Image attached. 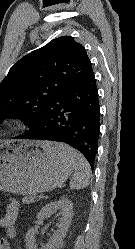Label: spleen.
Instances as JSON below:
<instances>
[{
    "instance_id": "1",
    "label": "spleen",
    "mask_w": 135,
    "mask_h": 249,
    "mask_svg": "<svg viewBox=\"0 0 135 249\" xmlns=\"http://www.w3.org/2000/svg\"><path fill=\"white\" fill-rule=\"evenodd\" d=\"M56 148L67 156L74 165L75 172L70 181V187L77 190L87 187L90 180V166L87 160L82 154L66 144L58 143Z\"/></svg>"
}]
</instances>
